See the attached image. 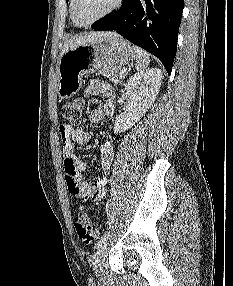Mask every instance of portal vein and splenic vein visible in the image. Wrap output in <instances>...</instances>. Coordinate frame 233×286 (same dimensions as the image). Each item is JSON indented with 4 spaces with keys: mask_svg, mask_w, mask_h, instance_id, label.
Segmentation results:
<instances>
[{
    "mask_svg": "<svg viewBox=\"0 0 233 286\" xmlns=\"http://www.w3.org/2000/svg\"><path fill=\"white\" fill-rule=\"evenodd\" d=\"M120 76H121L122 78H124V77H125V72H124V71H121V72H120Z\"/></svg>",
    "mask_w": 233,
    "mask_h": 286,
    "instance_id": "portal-vein-and-splenic-vein-1",
    "label": "portal vein and splenic vein"
}]
</instances>
